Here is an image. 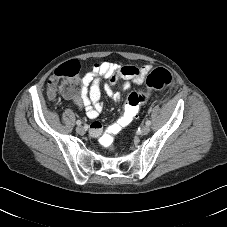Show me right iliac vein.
Listing matches in <instances>:
<instances>
[{"label": "right iliac vein", "mask_w": 227, "mask_h": 227, "mask_svg": "<svg viewBox=\"0 0 227 227\" xmlns=\"http://www.w3.org/2000/svg\"><path fill=\"white\" fill-rule=\"evenodd\" d=\"M76 132H77L78 134L82 135V134H84L85 129H84L83 126H78V127H76Z\"/></svg>", "instance_id": "63e3f726"}]
</instances>
